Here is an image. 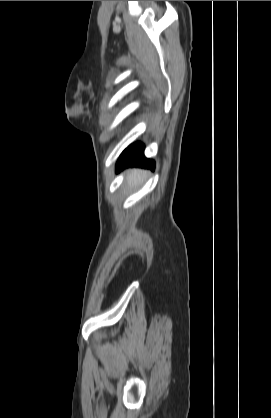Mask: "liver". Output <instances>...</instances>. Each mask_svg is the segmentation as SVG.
Listing matches in <instances>:
<instances>
[{"mask_svg": "<svg viewBox=\"0 0 271 418\" xmlns=\"http://www.w3.org/2000/svg\"><path fill=\"white\" fill-rule=\"evenodd\" d=\"M146 171L132 169L128 172L126 181L129 187H136L143 182Z\"/></svg>", "mask_w": 271, "mask_h": 418, "instance_id": "1", "label": "liver"}]
</instances>
